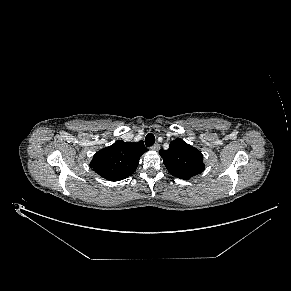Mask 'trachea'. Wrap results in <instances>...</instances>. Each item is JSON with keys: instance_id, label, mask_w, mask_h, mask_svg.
<instances>
[{"instance_id": "1", "label": "trachea", "mask_w": 291, "mask_h": 291, "mask_svg": "<svg viewBox=\"0 0 291 291\" xmlns=\"http://www.w3.org/2000/svg\"><path fill=\"white\" fill-rule=\"evenodd\" d=\"M155 143V136L152 133H148L145 137L146 146L150 147Z\"/></svg>"}]
</instances>
